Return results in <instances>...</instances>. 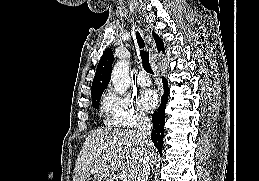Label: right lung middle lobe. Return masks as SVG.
I'll list each match as a JSON object with an SVG mask.
<instances>
[{
	"instance_id": "dd1d6c3e",
	"label": "right lung middle lobe",
	"mask_w": 259,
	"mask_h": 181,
	"mask_svg": "<svg viewBox=\"0 0 259 181\" xmlns=\"http://www.w3.org/2000/svg\"><path fill=\"white\" fill-rule=\"evenodd\" d=\"M101 95L92 98V105L94 108H98V103L100 101Z\"/></svg>"
}]
</instances>
